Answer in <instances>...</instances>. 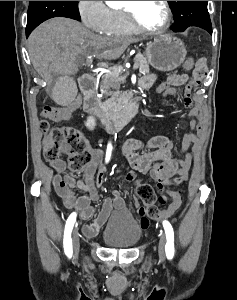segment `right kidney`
Returning <instances> with one entry per match:
<instances>
[{
    "label": "right kidney",
    "instance_id": "1",
    "mask_svg": "<svg viewBox=\"0 0 237 300\" xmlns=\"http://www.w3.org/2000/svg\"><path fill=\"white\" fill-rule=\"evenodd\" d=\"M85 127H87V129H90V131H93V129H95L96 123L94 117H87V121H85Z\"/></svg>",
    "mask_w": 237,
    "mask_h": 300
}]
</instances>
